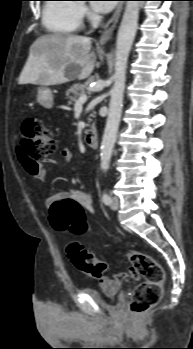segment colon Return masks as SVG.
I'll use <instances>...</instances> for the list:
<instances>
[{"mask_svg":"<svg viewBox=\"0 0 193 349\" xmlns=\"http://www.w3.org/2000/svg\"><path fill=\"white\" fill-rule=\"evenodd\" d=\"M23 138L20 144L22 154L28 160V168L35 170L57 149L54 134L36 117H28L22 124ZM50 223L54 229L72 235L81 233L84 228V209L72 200L57 201L50 208ZM67 254L73 265L89 277H104L107 265L89 252L78 241H71ZM132 267L143 281L135 289L130 302L134 315H143L157 304L162 296L165 273L163 267L150 255L135 250L124 249Z\"/></svg>","mask_w":193,"mask_h":349,"instance_id":"1","label":"colon"}]
</instances>
